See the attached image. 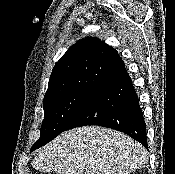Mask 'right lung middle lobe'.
I'll use <instances>...</instances> for the list:
<instances>
[{
	"instance_id": "right-lung-middle-lobe-1",
	"label": "right lung middle lobe",
	"mask_w": 175,
	"mask_h": 174,
	"mask_svg": "<svg viewBox=\"0 0 175 174\" xmlns=\"http://www.w3.org/2000/svg\"><path fill=\"white\" fill-rule=\"evenodd\" d=\"M91 90L70 91L43 100L45 117L42 121L40 138L33 145L31 151L45 145L66 131Z\"/></svg>"
}]
</instances>
